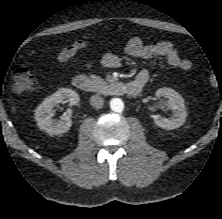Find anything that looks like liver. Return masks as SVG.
<instances>
[{
    "label": "liver",
    "mask_w": 222,
    "mask_h": 219,
    "mask_svg": "<svg viewBox=\"0 0 222 219\" xmlns=\"http://www.w3.org/2000/svg\"><path fill=\"white\" fill-rule=\"evenodd\" d=\"M12 109H13V111H15V107H13Z\"/></svg>",
    "instance_id": "1"
}]
</instances>
